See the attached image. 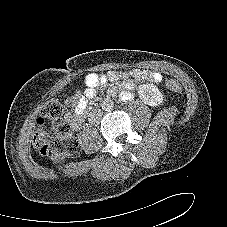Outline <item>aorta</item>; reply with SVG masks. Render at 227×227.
I'll list each match as a JSON object with an SVG mask.
<instances>
[{
	"label": "aorta",
	"mask_w": 227,
	"mask_h": 227,
	"mask_svg": "<svg viewBox=\"0 0 227 227\" xmlns=\"http://www.w3.org/2000/svg\"><path fill=\"white\" fill-rule=\"evenodd\" d=\"M101 107L103 110L105 111H112L113 107H114V102L110 99H106L102 102Z\"/></svg>",
	"instance_id": "1"
}]
</instances>
